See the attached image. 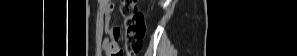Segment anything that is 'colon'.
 <instances>
[{
  "label": "colon",
  "instance_id": "obj_1",
  "mask_svg": "<svg viewBox=\"0 0 297 56\" xmlns=\"http://www.w3.org/2000/svg\"><path fill=\"white\" fill-rule=\"evenodd\" d=\"M120 12L124 18L125 26V51L128 56H135L143 46L146 32L144 15L138 8L136 0H123ZM122 50L117 51L114 56H123Z\"/></svg>",
  "mask_w": 297,
  "mask_h": 56
}]
</instances>
